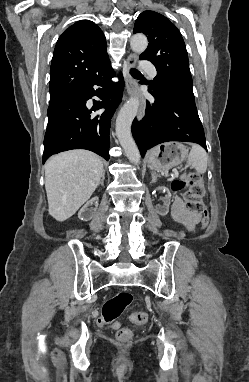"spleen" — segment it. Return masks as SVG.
<instances>
[{"label": "spleen", "mask_w": 249, "mask_h": 382, "mask_svg": "<svg viewBox=\"0 0 249 382\" xmlns=\"http://www.w3.org/2000/svg\"><path fill=\"white\" fill-rule=\"evenodd\" d=\"M207 154L205 150L197 144H193L188 155L187 163L195 168L199 174H204L207 170Z\"/></svg>", "instance_id": "1"}]
</instances>
